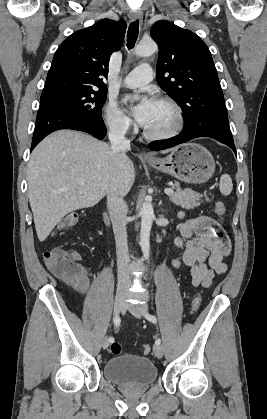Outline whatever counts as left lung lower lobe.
<instances>
[{
  "label": "left lung lower lobe",
  "instance_id": "0a47b994",
  "mask_svg": "<svg viewBox=\"0 0 267 419\" xmlns=\"http://www.w3.org/2000/svg\"><path fill=\"white\" fill-rule=\"evenodd\" d=\"M197 137H210L229 146L236 154L232 133L230 131L227 112L209 111L191 122L185 123L182 132L172 138L153 141L149 148L153 151L167 149Z\"/></svg>",
  "mask_w": 267,
  "mask_h": 419
}]
</instances>
